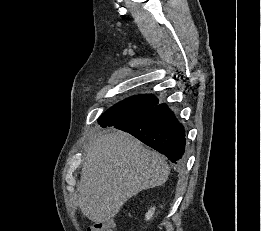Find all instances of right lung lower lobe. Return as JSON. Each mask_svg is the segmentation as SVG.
<instances>
[{"label": "right lung lower lobe", "instance_id": "obj_1", "mask_svg": "<svg viewBox=\"0 0 261 231\" xmlns=\"http://www.w3.org/2000/svg\"><path fill=\"white\" fill-rule=\"evenodd\" d=\"M164 154L171 162L181 163L185 152V130L166 104H157L146 112L114 125Z\"/></svg>", "mask_w": 261, "mask_h": 231}]
</instances>
